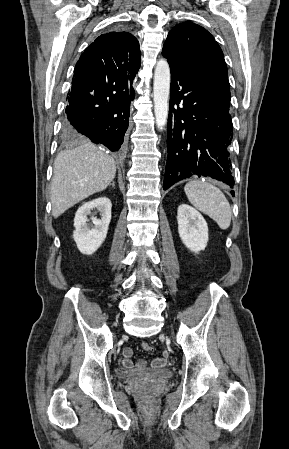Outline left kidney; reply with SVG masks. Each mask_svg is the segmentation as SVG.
I'll return each mask as SVG.
<instances>
[{
	"label": "left kidney",
	"instance_id": "1",
	"mask_svg": "<svg viewBox=\"0 0 289 449\" xmlns=\"http://www.w3.org/2000/svg\"><path fill=\"white\" fill-rule=\"evenodd\" d=\"M178 232L183 244L198 254L208 242V226L203 216L187 204H181L177 212Z\"/></svg>",
	"mask_w": 289,
	"mask_h": 449
}]
</instances>
